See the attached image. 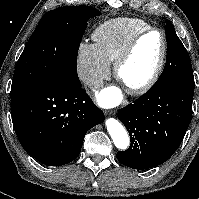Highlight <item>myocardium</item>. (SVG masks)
Returning <instances> with one entry per match:
<instances>
[{"label": "myocardium", "mask_w": 199, "mask_h": 199, "mask_svg": "<svg viewBox=\"0 0 199 199\" xmlns=\"http://www.w3.org/2000/svg\"><path fill=\"white\" fill-rule=\"evenodd\" d=\"M151 33H158L161 36V43H162L161 54L153 73L144 83L134 87H125V90L131 95H143L147 93L150 89L154 87V85L159 80L166 63L167 52H168V42L165 33L161 29L156 27H150L138 33L127 43V45L124 47V49L121 51V53L118 55V57L114 62V76L117 81L121 82L120 71L122 66L129 59L134 49L138 45V43L144 37H146Z\"/></svg>", "instance_id": "obj_1"}]
</instances>
